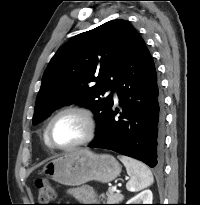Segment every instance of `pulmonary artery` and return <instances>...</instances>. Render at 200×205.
<instances>
[{"label": "pulmonary artery", "instance_id": "e3ab8cb5", "mask_svg": "<svg viewBox=\"0 0 200 205\" xmlns=\"http://www.w3.org/2000/svg\"><path fill=\"white\" fill-rule=\"evenodd\" d=\"M110 92L113 93L114 99H115V100H118L117 94H116L114 91H112V90H110Z\"/></svg>", "mask_w": 200, "mask_h": 205}]
</instances>
